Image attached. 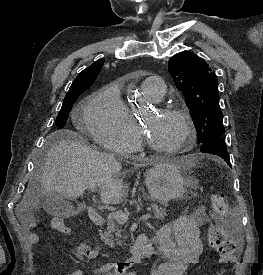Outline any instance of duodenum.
<instances>
[{
    "label": "duodenum",
    "instance_id": "410a0bca",
    "mask_svg": "<svg viewBox=\"0 0 263 275\" xmlns=\"http://www.w3.org/2000/svg\"><path fill=\"white\" fill-rule=\"evenodd\" d=\"M89 217L96 225H100L103 222L102 215L93 208L89 209ZM151 255V246L147 237L144 234H140L130 248L129 255L117 261L114 266L120 271H126L132 265L141 262V260Z\"/></svg>",
    "mask_w": 263,
    "mask_h": 275
}]
</instances>
